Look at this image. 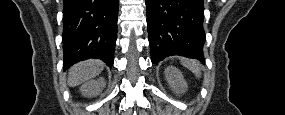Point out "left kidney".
Instances as JSON below:
<instances>
[{"instance_id":"1","label":"left kidney","mask_w":285,"mask_h":115,"mask_svg":"<svg viewBox=\"0 0 285 115\" xmlns=\"http://www.w3.org/2000/svg\"><path fill=\"white\" fill-rule=\"evenodd\" d=\"M165 77L171 89L177 94L185 93L187 91V83L181 71L177 68L173 66H168L165 69Z\"/></svg>"}]
</instances>
